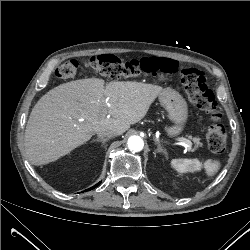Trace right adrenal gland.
<instances>
[{
    "label": "right adrenal gland",
    "instance_id": "1",
    "mask_svg": "<svg viewBox=\"0 0 250 250\" xmlns=\"http://www.w3.org/2000/svg\"><path fill=\"white\" fill-rule=\"evenodd\" d=\"M107 141H109V138H105V139L97 138V139L92 140L91 142H101L104 145Z\"/></svg>",
    "mask_w": 250,
    "mask_h": 250
}]
</instances>
